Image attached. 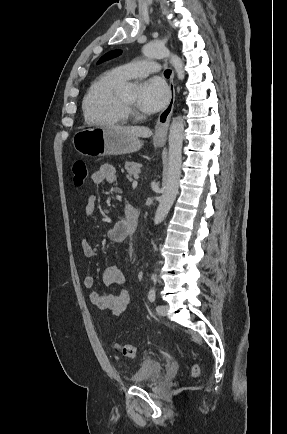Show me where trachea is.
<instances>
[{"mask_svg": "<svg viewBox=\"0 0 287 434\" xmlns=\"http://www.w3.org/2000/svg\"><path fill=\"white\" fill-rule=\"evenodd\" d=\"M164 75L165 77L169 78L171 75V70H165Z\"/></svg>", "mask_w": 287, "mask_h": 434, "instance_id": "3493384b", "label": "trachea"}]
</instances>
